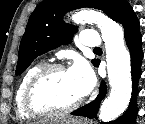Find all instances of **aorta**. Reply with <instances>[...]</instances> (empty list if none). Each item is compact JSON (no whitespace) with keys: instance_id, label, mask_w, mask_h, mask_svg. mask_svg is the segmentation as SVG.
<instances>
[{"instance_id":"aorta-1","label":"aorta","mask_w":145,"mask_h":124,"mask_svg":"<svg viewBox=\"0 0 145 124\" xmlns=\"http://www.w3.org/2000/svg\"><path fill=\"white\" fill-rule=\"evenodd\" d=\"M76 23L96 24L105 42L106 62L111 92L99 111L102 122L119 117L128 107L132 94L130 55L124 44L122 27L97 11H80L72 16Z\"/></svg>"}]
</instances>
